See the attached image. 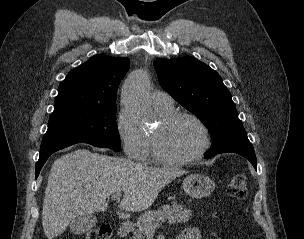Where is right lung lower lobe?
I'll use <instances>...</instances> for the list:
<instances>
[{"instance_id": "obj_1", "label": "right lung lower lobe", "mask_w": 304, "mask_h": 239, "mask_svg": "<svg viewBox=\"0 0 304 239\" xmlns=\"http://www.w3.org/2000/svg\"><path fill=\"white\" fill-rule=\"evenodd\" d=\"M76 143H80V142L71 141V142H58V143H50V144L41 145L39 160L36 163V178L38 177L42 166L44 165V163L46 162V160L49 158V156L51 154H53L54 152H56L60 149H63L65 147L71 146ZM89 144L96 146V147L108 148L104 145H100V144H96V143H89Z\"/></svg>"}]
</instances>
